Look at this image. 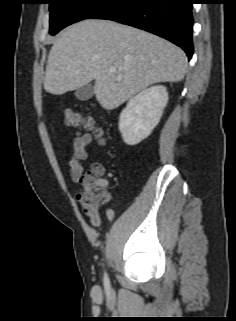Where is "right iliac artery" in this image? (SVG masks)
<instances>
[{"instance_id":"right-iliac-artery-1","label":"right iliac artery","mask_w":236,"mask_h":321,"mask_svg":"<svg viewBox=\"0 0 236 321\" xmlns=\"http://www.w3.org/2000/svg\"><path fill=\"white\" fill-rule=\"evenodd\" d=\"M104 287L106 290H110V282L106 273L104 274Z\"/></svg>"}]
</instances>
